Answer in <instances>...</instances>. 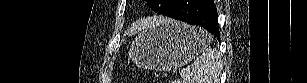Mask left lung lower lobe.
Returning a JSON list of instances; mask_svg holds the SVG:
<instances>
[{
    "label": "left lung lower lobe",
    "instance_id": "obj_1",
    "mask_svg": "<svg viewBox=\"0 0 307 83\" xmlns=\"http://www.w3.org/2000/svg\"><path fill=\"white\" fill-rule=\"evenodd\" d=\"M165 15L189 24L201 25L214 37L220 38L218 15L213 0H174Z\"/></svg>",
    "mask_w": 307,
    "mask_h": 83
}]
</instances>
